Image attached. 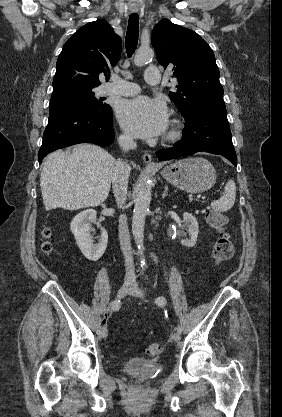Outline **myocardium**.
<instances>
[{
    "label": "myocardium",
    "mask_w": 282,
    "mask_h": 417,
    "mask_svg": "<svg viewBox=\"0 0 282 417\" xmlns=\"http://www.w3.org/2000/svg\"><path fill=\"white\" fill-rule=\"evenodd\" d=\"M182 135L181 126L179 121L175 120L172 122L171 126L164 135L165 140L175 141L179 139Z\"/></svg>",
    "instance_id": "myocardium-1"
}]
</instances>
